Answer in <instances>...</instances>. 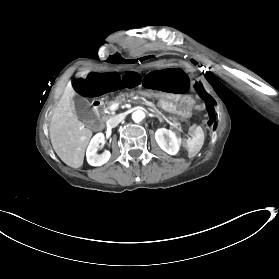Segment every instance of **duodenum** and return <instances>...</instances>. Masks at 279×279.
I'll return each instance as SVG.
<instances>
[{
  "instance_id": "duodenum-1",
  "label": "duodenum",
  "mask_w": 279,
  "mask_h": 279,
  "mask_svg": "<svg viewBox=\"0 0 279 279\" xmlns=\"http://www.w3.org/2000/svg\"><path fill=\"white\" fill-rule=\"evenodd\" d=\"M134 95L136 97L142 96L143 98L147 97V98H151V99H154L155 97H157V94H155L154 92H150V91L142 92L141 90H136L134 92ZM90 107H91L92 111L99 113V112L103 111L105 104H104L103 100L96 98V99L92 100Z\"/></svg>"
}]
</instances>
